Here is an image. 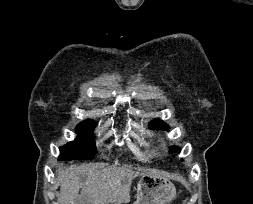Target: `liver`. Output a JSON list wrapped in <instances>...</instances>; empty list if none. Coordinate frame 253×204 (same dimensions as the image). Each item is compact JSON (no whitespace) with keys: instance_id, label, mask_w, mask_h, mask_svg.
<instances>
[{"instance_id":"1","label":"liver","mask_w":253,"mask_h":204,"mask_svg":"<svg viewBox=\"0 0 253 204\" xmlns=\"http://www.w3.org/2000/svg\"><path fill=\"white\" fill-rule=\"evenodd\" d=\"M60 185L58 204H114L127 198L128 185L139 173L110 167L89 169L85 166L57 169ZM81 189V193L79 191Z\"/></svg>"}]
</instances>
